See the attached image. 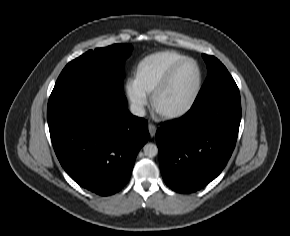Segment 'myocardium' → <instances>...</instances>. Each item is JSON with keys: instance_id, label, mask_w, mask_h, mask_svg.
Wrapping results in <instances>:
<instances>
[{"instance_id": "1", "label": "myocardium", "mask_w": 290, "mask_h": 236, "mask_svg": "<svg viewBox=\"0 0 290 236\" xmlns=\"http://www.w3.org/2000/svg\"><path fill=\"white\" fill-rule=\"evenodd\" d=\"M191 62L195 65L197 69V83L195 90L190 98V100L181 108L176 109V110H162L157 106V100L161 93L168 87L170 84L175 72L178 70L180 66L183 64ZM202 85H203V73L200 64L193 58L190 57H184L178 62H176L171 69L168 71L162 82L155 88V90L152 92L151 98H150V104H151V109L153 113L163 119V120H170V119H176L184 116L187 114L196 104L198 97L201 93L202 90Z\"/></svg>"}]
</instances>
